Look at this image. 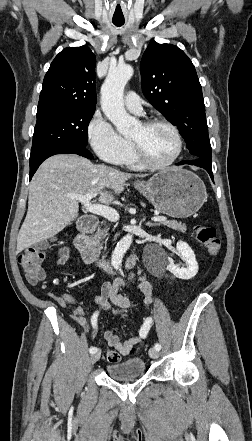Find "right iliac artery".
<instances>
[{"label":"right iliac artery","instance_id":"1","mask_svg":"<svg viewBox=\"0 0 252 441\" xmlns=\"http://www.w3.org/2000/svg\"><path fill=\"white\" fill-rule=\"evenodd\" d=\"M97 317H98V312H95L92 316L91 322L93 324V326L97 327ZM90 353H96L98 351V349L96 347H91L89 349Z\"/></svg>","mask_w":252,"mask_h":441}]
</instances>
